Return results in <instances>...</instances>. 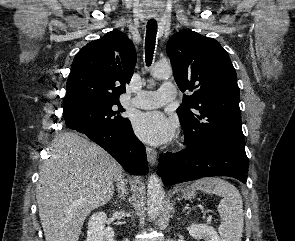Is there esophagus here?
Segmentation results:
<instances>
[{
  "label": "esophagus",
  "instance_id": "esophagus-1",
  "mask_svg": "<svg viewBox=\"0 0 295 241\" xmlns=\"http://www.w3.org/2000/svg\"><path fill=\"white\" fill-rule=\"evenodd\" d=\"M146 154L150 165L154 166L157 163V151L151 147L146 146Z\"/></svg>",
  "mask_w": 295,
  "mask_h": 241
}]
</instances>
